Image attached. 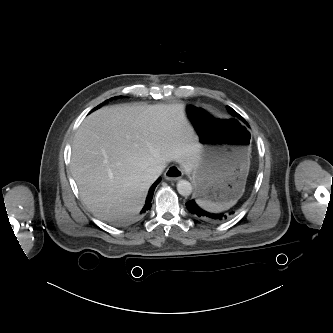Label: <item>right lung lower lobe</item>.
<instances>
[{
  "label": "right lung lower lobe",
  "instance_id": "1",
  "mask_svg": "<svg viewBox=\"0 0 333 333\" xmlns=\"http://www.w3.org/2000/svg\"><path fill=\"white\" fill-rule=\"evenodd\" d=\"M160 181H161V178H158L155 181V183L151 186V188L149 189V193H148V196L146 198V203H145L141 213H144V212H146L147 210H149L151 208V201H152V198H153V193H154L155 187L159 184Z\"/></svg>",
  "mask_w": 333,
  "mask_h": 333
}]
</instances>
